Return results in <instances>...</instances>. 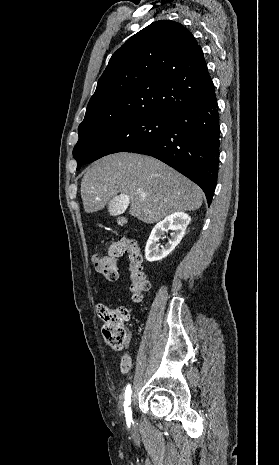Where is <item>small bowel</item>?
<instances>
[{
	"instance_id": "1",
	"label": "small bowel",
	"mask_w": 279,
	"mask_h": 465,
	"mask_svg": "<svg viewBox=\"0 0 279 465\" xmlns=\"http://www.w3.org/2000/svg\"><path fill=\"white\" fill-rule=\"evenodd\" d=\"M121 357L120 369L122 373L126 374L132 368V358L128 354H121Z\"/></svg>"
}]
</instances>
